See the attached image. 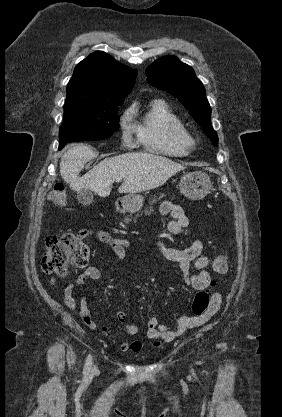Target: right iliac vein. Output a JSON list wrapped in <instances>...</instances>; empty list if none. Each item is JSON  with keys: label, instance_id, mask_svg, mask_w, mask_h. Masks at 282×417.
<instances>
[{"label": "right iliac vein", "instance_id": "1", "mask_svg": "<svg viewBox=\"0 0 282 417\" xmlns=\"http://www.w3.org/2000/svg\"><path fill=\"white\" fill-rule=\"evenodd\" d=\"M97 370V366H94L92 369V372H95Z\"/></svg>", "mask_w": 282, "mask_h": 417}]
</instances>
